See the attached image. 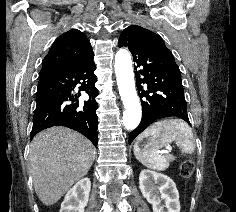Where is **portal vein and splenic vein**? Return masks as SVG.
I'll list each match as a JSON object with an SVG mask.
<instances>
[{
    "mask_svg": "<svg viewBox=\"0 0 236 212\" xmlns=\"http://www.w3.org/2000/svg\"><path fill=\"white\" fill-rule=\"evenodd\" d=\"M162 153H168V151H163Z\"/></svg>",
    "mask_w": 236,
    "mask_h": 212,
    "instance_id": "obj_1",
    "label": "portal vein and splenic vein"
}]
</instances>
